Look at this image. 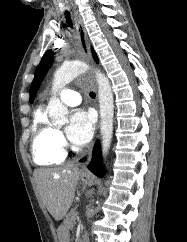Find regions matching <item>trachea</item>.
<instances>
[{"mask_svg":"<svg viewBox=\"0 0 187 242\" xmlns=\"http://www.w3.org/2000/svg\"><path fill=\"white\" fill-rule=\"evenodd\" d=\"M65 17H66V21L68 23V26L72 28L73 27L72 20H71L70 15H69L68 12L65 13ZM89 95H90L91 98H95V93L94 92H90Z\"/></svg>","mask_w":187,"mask_h":242,"instance_id":"obj_1","label":"trachea"}]
</instances>
